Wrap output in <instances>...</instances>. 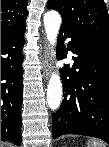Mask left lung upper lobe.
<instances>
[{"instance_id":"left-lung-upper-lobe-1","label":"left lung upper lobe","mask_w":109,"mask_h":147,"mask_svg":"<svg viewBox=\"0 0 109 147\" xmlns=\"http://www.w3.org/2000/svg\"><path fill=\"white\" fill-rule=\"evenodd\" d=\"M60 12L62 25L109 45V13L103 0H49Z\"/></svg>"}]
</instances>
